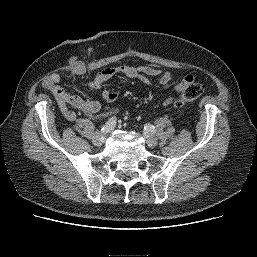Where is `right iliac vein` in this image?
I'll return each instance as SVG.
<instances>
[{"label":"right iliac vein","mask_w":257,"mask_h":257,"mask_svg":"<svg viewBox=\"0 0 257 257\" xmlns=\"http://www.w3.org/2000/svg\"><path fill=\"white\" fill-rule=\"evenodd\" d=\"M92 142L95 146L100 147L105 142V136L101 132H97L93 138Z\"/></svg>","instance_id":"63e3f726"}]
</instances>
